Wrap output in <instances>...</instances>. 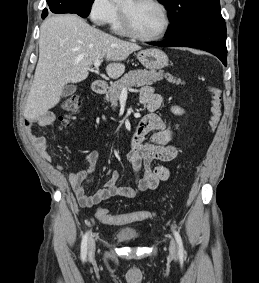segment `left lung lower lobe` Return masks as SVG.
<instances>
[{"instance_id": "obj_1", "label": "left lung lower lobe", "mask_w": 259, "mask_h": 283, "mask_svg": "<svg viewBox=\"0 0 259 283\" xmlns=\"http://www.w3.org/2000/svg\"><path fill=\"white\" fill-rule=\"evenodd\" d=\"M160 47H192L208 51L227 65L226 24L222 17L216 16L196 27L178 35L167 36L158 43H150Z\"/></svg>"}]
</instances>
